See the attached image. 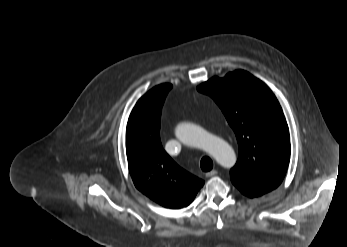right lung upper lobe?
I'll return each mask as SVG.
<instances>
[{
  "instance_id": "1",
  "label": "right lung upper lobe",
  "mask_w": 347,
  "mask_h": 247,
  "mask_svg": "<svg viewBox=\"0 0 347 247\" xmlns=\"http://www.w3.org/2000/svg\"><path fill=\"white\" fill-rule=\"evenodd\" d=\"M171 84H161L143 95L126 128V154L138 190L165 208L188 206L204 181L179 167L160 141L161 109Z\"/></svg>"
}]
</instances>
